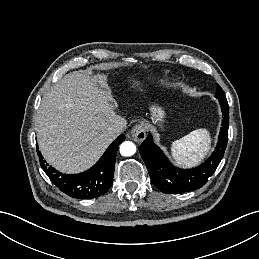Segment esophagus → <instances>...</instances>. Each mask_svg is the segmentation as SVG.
Returning a JSON list of instances; mask_svg holds the SVG:
<instances>
[{
  "instance_id": "obj_1",
  "label": "esophagus",
  "mask_w": 259,
  "mask_h": 259,
  "mask_svg": "<svg viewBox=\"0 0 259 259\" xmlns=\"http://www.w3.org/2000/svg\"><path fill=\"white\" fill-rule=\"evenodd\" d=\"M131 137L136 142H142L146 138V127L140 123L135 125L131 130Z\"/></svg>"
}]
</instances>
